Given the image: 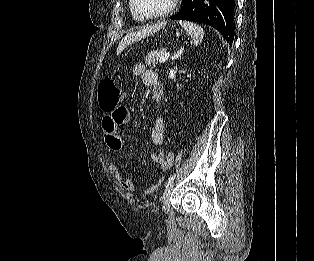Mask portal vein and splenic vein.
Returning a JSON list of instances; mask_svg holds the SVG:
<instances>
[{
    "label": "portal vein and splenic vein",
    "mask_w": 314,
    "mask_h": 261,
    "mask_svg": "<svg viewBox=\"0 0 314 261\" xmlns=\"http://www.w3.org/2000/svg\"><path fill=\"white\" fill-rule=\"evenodd\" d=\"M169 57H170V54H169V53H166V54L162 55V56L159 58V62H160V63H164L165 61L168 60Z\"/></svg>",
    "instance_id": "1"
}]
</instances>
